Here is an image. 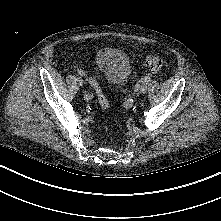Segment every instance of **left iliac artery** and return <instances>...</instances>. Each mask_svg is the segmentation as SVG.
Segmentation results:
<instances>
[{
	"instance_id": "44dca946",
	"label": "left iliac artery",
	"mask_w": 221,
	"mask_h": 221,
	"mask_svg": "<svg viewBox=\"0 0 221 221\" xmlns=\"http://www.w3.org/2000/svg\"><path fill=\"white\" fill-rule=\"evenodd\" d=\"M150 79H151L150 76H146V77L142 78L141 80H139L136 85L137 90L139 89V87L141 85L147 84L150 81ZM133 102H134L133 98H129V99L125 100V102L123 104L124 108H126V109L131 108L133 106Z\"/></svg>"
}]
</instances>
